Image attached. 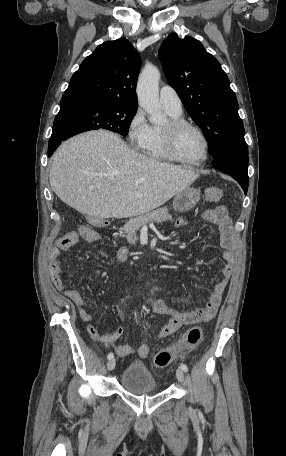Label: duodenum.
<instances>
[{"mask_svg":"<svg viewBox=\"0 0 286 456\" xmlns=\"http://www.w3.org/2000/svg\"><path fill=\"white\" fill-rule=\"evenodd\" d=\"M97 221H98V223H99L100 225H102V226H105V225L107 224V220H106V219H101V218H99V219H97Z\"/></svg>","mask_w":286,"mask_h":456,"instance_id":"duodenum-1","label":"duodenum"}]
</instances>
